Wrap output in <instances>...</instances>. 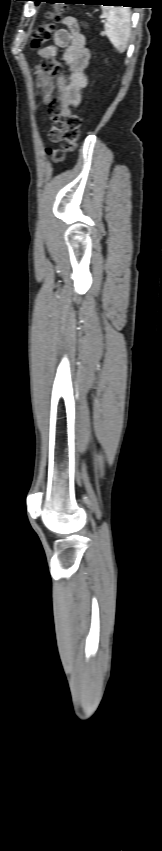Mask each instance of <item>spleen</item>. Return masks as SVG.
Masks as SVG:
<instances>
[{
  "mask_svg": "<svg viewBox=\"0 0 162 851\" xmlns=\"http://www.w3.org/2000/svg\"><path fill=\"white\" fill-rule=\"evenodd\" d=\"M106 18L105 32L116 50L125 52L130 37V10L124 7H102Z\"/></svg>",
  "mask_w": 162,
  "mask_h": 851,
  "instance_id": "3e777b00",
  "label": "spleen"
}]
</instances>
